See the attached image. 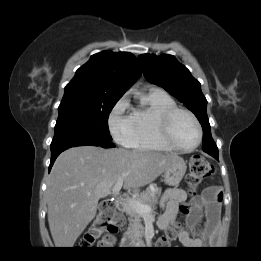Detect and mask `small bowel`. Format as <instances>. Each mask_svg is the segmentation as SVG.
Masks as SVG:
<instances>
[{"instance_id":"1","label":"small bowel","mask_w":261,"mask_h":261,"mask_svg":"<svg viewBox=\"0 0 261 261\" xmlns=\"http://www.w3.org/2000/svg\"><path fill=\"white\" fill-rule=\"evenodd\" d=\"M222 191L215 186L208 187L200 197L193 199L191 211L188 215V222L192 228H197L203 218L205 224L213 231L219 227ZM187 198L184 190L179 188L168 189L161 198V206L164 208L163 214L159 217L157 225L162 230L169 229L174 223L180 204ZM178 238L181 244L188 249L201 248L206 245L203 235L191 237L185 228L178 230Z\"/></svg>"}]
</instances>
